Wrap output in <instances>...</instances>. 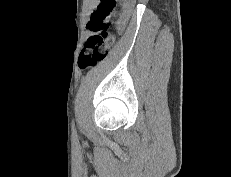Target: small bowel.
Returning a JSON list of instances; mask_svg holds the SVG:
<instances>
[{
	"mask_svg": "<svg viewBox=\"0 0 231 177\" xmlns=\"http://www.w3.org/2000/svg\"><path fill=\"white\" fill-rule=\"evenodd\" d=\"M125 24H126V22H125V19H124V18L121 19V20L118 22V30H119L120 32L124 30Z\"/></svg>",
	"mask_w": 231,
	"mask_h": 177,
	"instance_id": "c3829d8e",
	"label": "small bowel"
}]
</instances>
